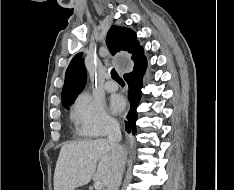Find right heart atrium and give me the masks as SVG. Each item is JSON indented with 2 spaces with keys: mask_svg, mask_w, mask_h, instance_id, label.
Listing matches in <instances>:
<instances>
[{
  "mask_svg": "<svg viewBox=\"0 0 234 190\" xmlns=\"http://www.w3.org/2000/svg\"><path fill=\"white\" fill-rule=\"evenodd\" d=\"M71 120L77 132L87 137L103 136L116 128V122L107 113L102 100L89 93L76 97L71 108Z\"/></svg>",
  "mask_w": 234,
  "mask_h": 190,
  "instance_id": "right-heart-atrium-1",
  "label": "right heart atrium"
}]
</instances>
